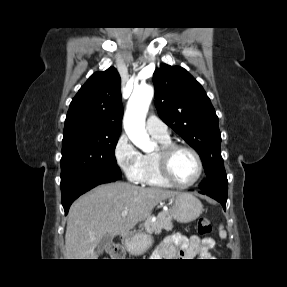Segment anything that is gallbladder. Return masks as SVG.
<instances>
[{"label":"gallbladder","mask_w":287,"mask_h":287,"mask_svg":"<svg viewBox=\"0 0 287 287\" xmlns=\"http://www.w3.org/2000/svg\"><path fill=\"white\" fill-rule=\"evenodd\" d=\"M112 236L109 234H106L99 242L97 245V253L101 254L103 250L112 242Z\"/></svg>","instance_id":"bac80fb5"}]
</instances>
